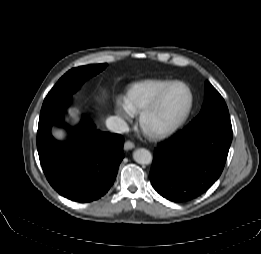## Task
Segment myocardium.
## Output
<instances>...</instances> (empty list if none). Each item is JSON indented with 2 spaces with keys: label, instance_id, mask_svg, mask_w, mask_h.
<instances>
[{
  "label": "myocardium",
  "instance_id": "1",
  "mask_svg": "<svg viewBox=\"0 0 261 254\" xmlns=\"http://www.w3.org/2000/svg\"><path fill=\"white\" fill-rule=\"evenodd\" d=\"M181 85L184 86L189 92V103L182 115L173 123L168 125H156L152 122V117L154 113L160 107L165 95L174 86ZM194 105V94L192 89L188 84L182 81L171 82L159 95L158 97L146 107L140 115V126L142 130L152 138H164L175 133L186 121Z\"/></svg>",
  "mask_w": 261,
  "mask_h": 254
}]
</instances>
